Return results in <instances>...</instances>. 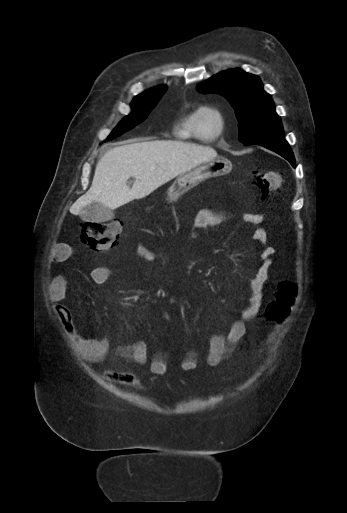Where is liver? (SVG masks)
I'll list each match as a JSON object with an SVG mask.
<instances>
[{"label":"liver","mask_w":347,"mask_h":513,"mask_svg":"<svg viewBox=\"0 0 347 513\" xmlns=\"http://www.w3.org/2000/svg\"><path fill=\"white\" fill-rule=\"evenodd\" d=\"M216 157L213 148L172 140L111 148L97 163L90 189L72 204L70 213L78 215L93 202L114 210ZM130 177L135 180L131 188L127 185Z\"/></svg>","instance_id":"6515ba94"}]
</instances>
